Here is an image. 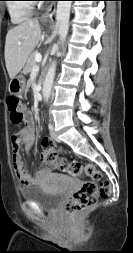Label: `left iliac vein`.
Masks as SVG:
<instances>
[{"instance_id":"obj_1","label":"left iliac vein","mask_w":133,"mask_h":253,"mask_svg":"<svg viewBox=\"0 0 133 253\" xmlns=\"http://www.w3.org/2000/svg\"><path fill=\"white\" fill-rule=\"evenodd\" d=\"M50 135H51V137H52L53 139H55L56 141H59L58 135H57V133H56L54 127L51 129Z\"/></svg>"}]
</instances>
